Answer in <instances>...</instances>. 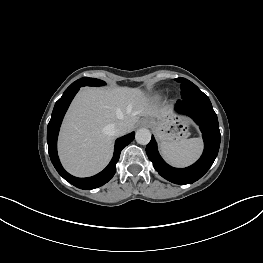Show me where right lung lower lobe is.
Listing matches in <instances>:
<instances>
[{"mask_svg": "<svg viewBox=\"0 0 263 263\" xmlns=\"http://www.w3.org/2000/svg\"><path fill=\"white\" fill-rule=\"evenodd\" d=\"M79 88V86H76L66 90L62 97L56 102L47 128V143L51 162L58 173L72 185L87 190L104 185L114 176L116 172V163L119 160L120 153L124 147L134 140L135 133L132 132L116 140L114 155L111 162L97 175L88 178H77L67 173L62 167L57 155V137L64 114Z\"/></svg>", "mask_w": 263, "mask_h": 263, "instance_id": "98d812e1", "label": "right lung lower lobe"}]
</instances>
